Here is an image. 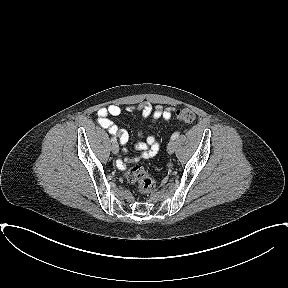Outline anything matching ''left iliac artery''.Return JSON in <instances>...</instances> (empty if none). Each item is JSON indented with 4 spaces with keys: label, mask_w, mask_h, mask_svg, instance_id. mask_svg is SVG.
Wrapping results in <instances>:
<instances>
[{
    "label": "left iliac artery",
    "mask_w": 288,
    "mask_h": 288,
    "mask_svg": "<svg viewBox=\"0 0 288 288\" xmlns=\"http://www.w3.org/2000/svg\"><path fill=\"white\" fill-rule=\"evenodd\" d=\"M178 136H179V132H175V133H173V135L171 136V139H172V140H175L176 138H178Z\"/></svg>",
    "instance_id": "left-iliac-artery-1"
}]
</instances>
